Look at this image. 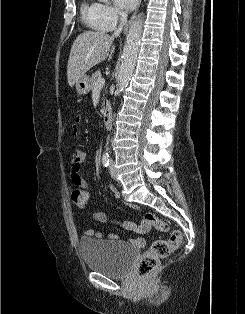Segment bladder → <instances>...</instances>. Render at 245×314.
I'll use <instances>...</instances> for the list:
<instances>
[{"instance_id":"1","label":"bladder","mask_w":245,"mask_h":314,"mask_svg":"<svg viewBox=\"0 0 245 314\" xmlns=\"http://www.w3.org/2000/svg\"><path fill=\"white\" fill-rule=\"evenodd\" d=\"M79 249L87 268L110 277L124 275L138 254L122 242L99 239L82 240Z\"/></svg>"}]
</instances>
